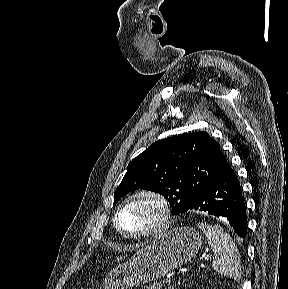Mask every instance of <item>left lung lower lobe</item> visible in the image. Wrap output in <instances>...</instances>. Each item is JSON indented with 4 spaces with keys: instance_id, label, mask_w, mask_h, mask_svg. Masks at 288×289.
Returning <instances> with one entry per match:
<instances>
[{
    "instance_id": "obj_1",
    "label": "left lung lower lobe",
    "mask_w": 288,
    "mask_h": 289,
    "mask_svg": "<svg viewBox=\"0 0 288 289\" xmlns=\"http://www.w3.org/2000/svg\"><path fill=\"white\" fill-rule=\"evenodd\" d=\"M224 217L240 237L246 236L247 216L239 180L228 163L197 194L188 206ZM186 210V211H187Z\"/></svg>"
}]
</instances>
